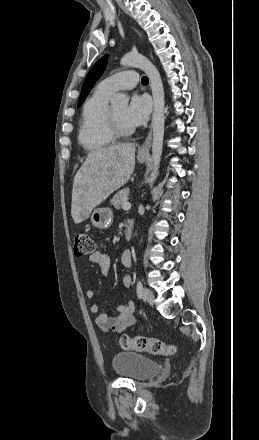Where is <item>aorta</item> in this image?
I'll use <instances>...</instances> for the list:
<instances>
[{
  "instance_id": "obj_1",
  "label": "aorta",
  "mask_w": 259,
  "mask_h": 440,
  "mask_svg": "<svg viewBox=\"0 0 259 440\" xmlns=\"http://www.w3.org/2000/svg\"><path fill=\"white\" fill-rule=\"evenodd\" d=\"M122 66L137 67L145 72L149 78L154 110L152 117L153 142H152V161L153 169L150 175V182L153 183L158 176V168L162 155L163 136H164V89L160 74L156 67L143 55L129 53L122 57ZM129 97L123 93H117L111 99V105L115 107H125L128 105Z\"/></svg>"
}]
</instances>
